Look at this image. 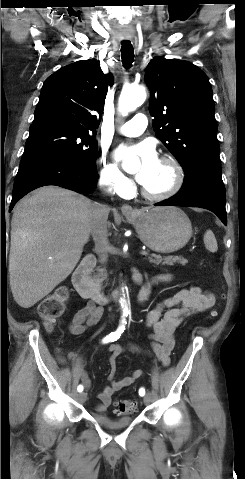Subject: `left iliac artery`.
I'll list each match as a JSON object with an SVG mask.
<instances>
[{
    "label": "left iliac artery",
    "mask_w": 245,
    "mask_h": 479,
    "mask_svg": "<svg viewBox=\"0 0 245 479\" xmlns=\"http://www.w3.org/2000/svg\"><path fill=\"white\" fill-rule=\"evenodd\" d=\"M139 395H140V396H144V395H145V389H144V388H140V389H139Z\"/></svg>",
    "instance_id": "obj_1"
}]
</instances>
